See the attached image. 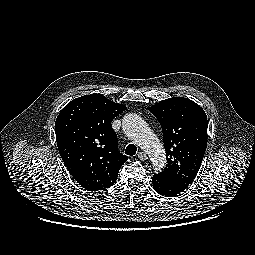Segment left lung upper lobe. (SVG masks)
Returning a JSON list of instances; mask_svg holds the SVG:
<instances>
[{"label":"left lung upper lobe","instance_id":"1","mask_svg":"<svg viewBox=\"0 0 255 255\" xmlns=\"http://www.w3.org/2000/svg\"><path fill=\"white\" fill-rule=\"evenodd\" d=\"M149 111L163 130L167 155L163 179L187 188L201 166L207 146V116L194 101L173 97L151 106Z\"/></svg>","mask_w":255,"mask_h":255}]
</instances>
